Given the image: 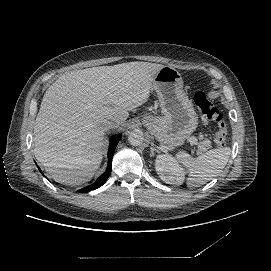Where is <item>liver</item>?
Here are the masks:
<instances>
[{
	"mask_svg": "<svg viewBox=\"0 0 271 271\" xmlns=\"http://www.w3.org/2000/svg\"><path fill=\"white\" fill-rule=\"evenodd\" d=\"M164 67L128 62L72 71L46 90L34 125V156L53 180L90 181L103 158V120L123 124L150 95Z\"/></svg>",
	"mask_w": 271,
	"mask_h": 271,
	"instance_id": "6515ba94",
	"label": "liver"
}]
</instances>
